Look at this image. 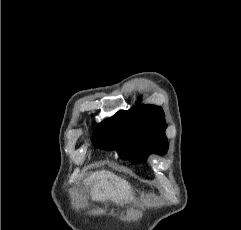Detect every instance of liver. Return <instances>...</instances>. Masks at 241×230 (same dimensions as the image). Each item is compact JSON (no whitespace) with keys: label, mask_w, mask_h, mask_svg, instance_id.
<instances>
[{"label":"liver","mask_w":241,"mask_h":230,"mask_svg":"<svg viewBox=\"0 0 241 230\" xmlns=\"http://www.w3.org/2000/svg\"><path fill=\"white\" fill-rule=\"evenodd\" d=\"M97 181L93 198L119 203L132 197L129 184L113 173L101 171L92 177Z\"/></svg>","instance_id":"1"}]
</instances>
